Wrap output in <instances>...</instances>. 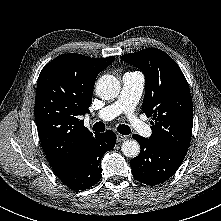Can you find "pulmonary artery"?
Listing matches in <instances>:
<instances>
[{
    "label": "pulmonary artery",
    "mask_w": 221,
    "mask_h": 221,
    "mask_svg": "<svg viewBox=\"0 0 221 221\" xmlns=\"http://www.w3.org/2000/svg\"><path fill=\"white\" fill-rule=\"evenodd\" d=\"M145 85V77L137 71H129L122 76V88L117 100L102 108L97 113V118L110 121L122 112L126 113L132 128L140 135L149 136L150 127L135 114L134 109L138 104Z\"/></svg>",
    "instance_id": "1"
}]
</instances>
